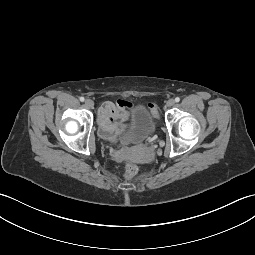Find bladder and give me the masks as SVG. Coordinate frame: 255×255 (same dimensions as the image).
<instances>
[{"instance_id": "31cf9c89", "label": "bladder", "mask_w": 255, "mask_h": 255, "mask_svg": "<svg viewBox=\"0 0 255 255\" xmlns=\"http://www.w3.org/2000/svg\"><path fill=\"white\" fill-rule=\"evenodd\" d=\"M157 123L148 107L139 104L131 109L128 126L121 134V139L127 142H138L154 134Z\"/></svg>"}]
</instances>
